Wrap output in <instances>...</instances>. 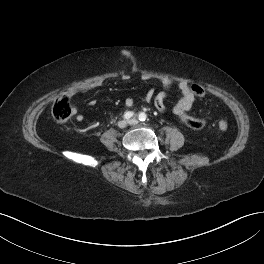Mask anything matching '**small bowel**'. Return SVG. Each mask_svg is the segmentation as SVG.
<instances>
[{
    "instance_id": "1",
    "label": "small bowel",
    "mask_w": 264,
    "mask_h": 264,
    "mask_svg": "<svg viewBox=\"0 0 264 264\" xmlns=\"http://www.w3.org/2000/svg\"><path fill=\"white\" fill-rule=\"evenodd\" d=\"M123 80H128L129 76L128 75H124ZM144 80H147L148 77L143 76L142 77ZM160 83L162 84V86L164 87V89H168L171 87V80L168 78H161L160 79ZM102 86V82L97 81V82H92L83 86H77V87H71L66 91V95L68 97H72L75 96L77 94L80 93H85L91 90H94L98 87ZM178 89L181 93V98L179 100V102L177 103V105L174 107V113L176 115H178L181 111L182 112H188L195 101V96L194 94L191 92V89L188 85V83L182 81L178 83ZM165 98H166V92L165 91H160L155 93V91L153 89H149L146 94L143 97V100L145 102L148 103H153V105L155 106V108L159 111V112H163L165 111ZM89 104L93 105L95 104L94 100H91L89 102ZM126 106L131 107L134 104V99L133 98H127L125 101ZM76 120L78 122H82L83 121V116L82 115H77L76 116Z\"/></svg>"
}]
</instances>
